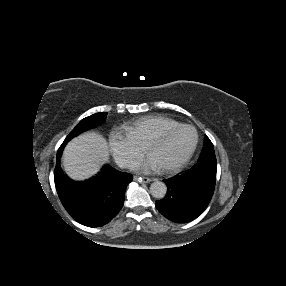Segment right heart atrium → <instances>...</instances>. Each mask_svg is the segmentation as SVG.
Returning <instances> with one entry per match:
<instances>
[{"label":"right heart atrium","instance_id":"1","mask_svg":"<svg viewBox=\"0 0 286 286\" xmlns=\"http://www.w3.org/2000/svg\"><path fill=\"white\" fill-rule=\"evenodd\" d=\"M108 142L115 160L122 166H130L144 149L143 145L123 129L111 130L108 135Z\"/></svg>","mask_w":286,"mask_h":286}]
</instances>
